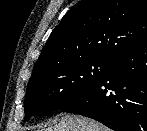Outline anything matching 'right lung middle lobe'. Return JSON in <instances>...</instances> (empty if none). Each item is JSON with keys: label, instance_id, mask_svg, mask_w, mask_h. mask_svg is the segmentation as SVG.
I'll list each match as a JSON object with an SVG mask.
<instances>
[{"label": "right lung middle lobe", "instance_id": "dd1d6c3e", "mask_svg": "<svg viewBox=\"0 0 147 131\" xmlns=\"http://www.w3.org/2000/svg\"><path fill=\"white\" fill-rule=\"evenodd\" d=\"M113 62L90 58L32 76L24 100L25 120L36 113L62 110L74 103L101 81Z\"/></svg>", "mask_w": 147, "mask_h": 131}]
</instances>
